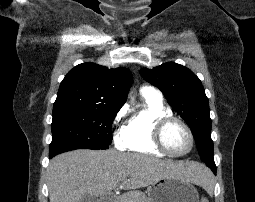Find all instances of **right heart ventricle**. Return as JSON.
I'll list each match as a JSON object with an SVG mask.
<instances>
[{"instance_id":"1","label":"right heart ventricle","mask_w":255,"mask_h":202,"mask_svg":"<svg viewBox=\"0 0 255 202\" xmlns=\"http://www.w3.org/2000/svg\"><path fill=\"white\" fill-rule=\"evenodd\" d=\"M143 100V108L128 119L121 131L123 147L133 152L164 156L166 154L153 141V129L159 119L172 116V112L162 99L143 96Z\"/></svg>"}]
</instances>
